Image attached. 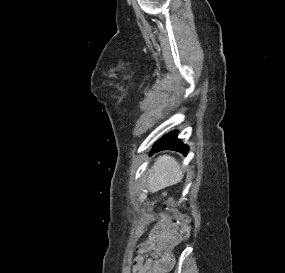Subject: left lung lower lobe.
Masks as SVG:
<instances>
[{
  "label": "left lung lower lobe",
  "mask_w": 285,
  "mask_h": 273,
  "mask_svg": "<svg viewBox=\"0 0 285 273\" xmlns=\"http://www.w3.org/2000/svg\"><path fill=\"white\" fill-rule=\"evenodd\" d=\"M165 149L175 150L181 152L184 155H187L189 147L182 144L177 138V134L172 132L164 135L154 144V147L151 150V154Z\"/></svg>",
  "instance_id": "1"
}]
</instances>
